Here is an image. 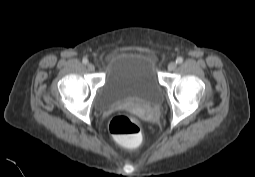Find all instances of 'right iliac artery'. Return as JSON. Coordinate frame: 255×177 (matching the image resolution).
I'll list each match as a JSON object with an SVG mask.
<instances>
[{
    "label": "right iliac artery",
    "instance_id": "82829eb1",
    "mask_svg": "<svg viewBox=\"0 0 255 177\" xmlns=\"http://www.w3.org/2000/svg\"><path fill=\"white\" fill-rule=\"evenodd\" d=\"M82 62H83V64H88V59H86V58H84L83 60H82Z\"/></svg>",
    "mask_w": 255,
    "mask_h": 177
}]
</instances>
